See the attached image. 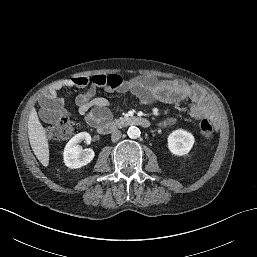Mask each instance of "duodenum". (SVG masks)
Segmentation results:
<instances>
[{"label": "duodenum", "mask_w": 257, "mask_h": 257, "mask_svg": "<svg viewBox=\"0 0 257 257\" xmlns=\"http://www.w3.org/2000/svg\"><path fill=\"white\" fill-rule=\"evenodd\" d=\"M128 125H135V126L147 128L150 126V122L148 119L144 117H138V116L127 117L121 120L102 122L97 126V131L100 134L106 135V134L112 133L113 131H115L120 127L128 126Z\"/></svg>", "instance_id": "obj_1"}]
</instances>
